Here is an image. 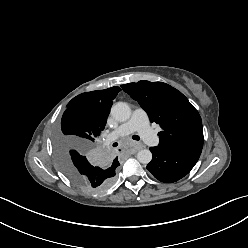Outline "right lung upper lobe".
<instances>
[{
	"label": "right lung upper lobe",
	"mask_w": 248,
	"mask_h": 248,
	"mask_svg": "<svg viewBox=\"0 0 248 248\" xmlns=\"http://www.w3.org/2000/svg\"><path fill=\"white\" fill-rule=\"evenodd\" d=\"M119 91H121L119 87H111L105 90L82 93L69 102L68 108L74 106L82 107L101 133L106 125L112 100ZM112 166L116 168L119 166L117 158L113 160Z\"/></svg>",
	"instance_id": "cb5924a9"
}]
</instances>
